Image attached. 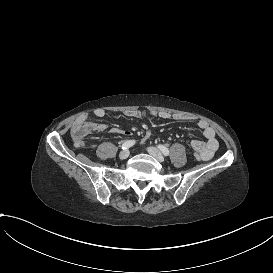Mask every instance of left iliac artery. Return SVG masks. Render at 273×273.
<instances>
[{"label": "left iliac artery", "mask_w": 273, "mask_h": 273, "mask_svg": "<svg viewBox=\"0 0 273 273\" xmlns=\"http://www.w3.org/2000/svg\"><path fill=\"white\" fill-rule=\"evenodd\" d=\"M158 148L161 150V152L165 155L168 156L169 155V150L167 147L163 146V145H159Z\"/></svg>", "instance_id": "1"}]
</instances>
